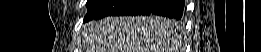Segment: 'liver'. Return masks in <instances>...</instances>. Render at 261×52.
I'll return each instance as SVG.
<instances>
[{"label": "liver", "instance_id": "1", "mask_svg": "<svg viewBox=\"0 0 261 52\" xmlns=\"http://www.w3.org/2000/svg\"><path fill=\"white\" fill-rule=\"evenodd\" d=\"M178 29L160 16L106 17L88 23L87 52H173Z\"/></svg>", "mask_w": 261, "mask_h": 52}]
</instances>
